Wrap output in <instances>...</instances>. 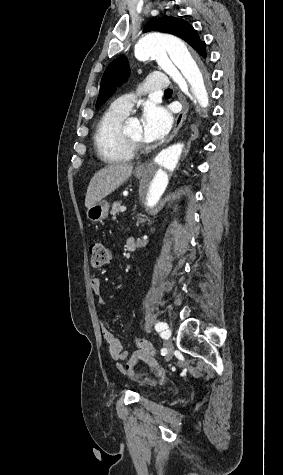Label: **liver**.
<instances>
[{
    "label": "liver",
    "mask_w": 283,
    "mask_h": 475,
    "mask_svg": "<svg viewBox=\"0 0 283 475\" xmlns=\"http://www.w3.org/2000/svg\"><path fill=\"white\" fill-rule=\"evenodd\" d=\"M132 170V164H110V166H106V168L94 174L87 188L86 208L95 206L97 202H101L103 198L112 194L116 188L129 180Z\"/></svg>",
    "instance_id": "6515ba94"
}]
</instances>
